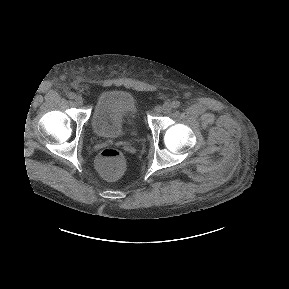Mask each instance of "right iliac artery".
I'll list each match as a JSON object with an SVG mask.
<instances>
[{"mask_svg":"<svg viewBox=\"0 0 289 289\" xmlns=\"http://www.w3.org/2000/svg\"><path fill=\"white\" fill-rule=\"evenodd\" d=\"M67 96L69 99H74L76 97L75 93L73 92H69Z\"/></svg>","mask_w":289,"mask_h":289,"instance_id":"obj_1","label":"right iliac artery"}]
</instances>
